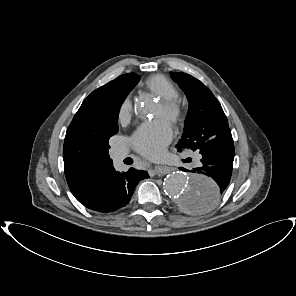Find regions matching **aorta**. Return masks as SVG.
<instances>
[{
    "label": "aorta",
    "mask_w": 296,
    "mask_h": 296,
    "mask_svg": "<svg viewBox=\"0 0 296 296\" xmlns=\"http://www.w3.org/2000/svg\"><path fill=\"white\" fill-rule=\"evenodd\" d=\"M138 113L146 114V106L138 107ZM164 191L175 206L187 214H203L210 211L218 199L216 182L203 175H187L176 171L164 180Z\"/></svg>",
    "instance_id": "762f6f07"
}]
</instances>
